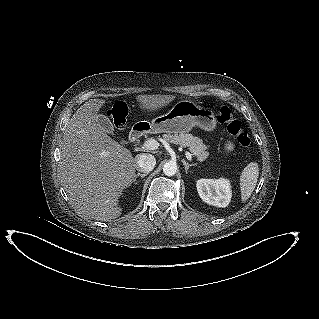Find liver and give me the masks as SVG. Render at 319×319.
I'll use <instances>...</instances> for the list:
<instances>
[{
  "instance_id": "liver-1",
  "label": "liver",
  "mask_w": 319,
  "mask_h": 319,
  "mask_svg": "<svg viewBox=\"0 0 319 319\" xmlns=\"http://www.w3.org/2000/svg\"><path fill=\"white\" fill-rule=\"evenodd\" d=\"M173 95H140V109L156 111ZM105 100L85 102L71 117L60 144L61 182L75 212L98 221L118 218L119 197L135 178L137 160L97 124Z\"/></svg>"
}]
</instances>
